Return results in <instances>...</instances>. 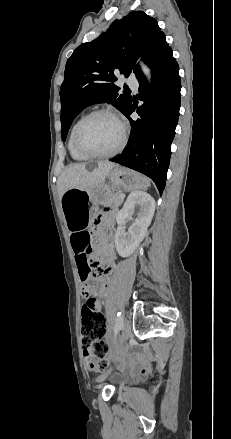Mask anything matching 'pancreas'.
Returning <instances> with one entry per match:
<instances>
[{
	"label": "pancreas",
	"mask_w": 231,
	"mask_h": 439,
	"mask_svg": "<svg viewBox=\"0 0 231 439\" xmlns=\"http://www.w3.org/2000/svg\"><path fill=\"white\" fill-rule=\"evenodd\" d=\"M122 202L123 199L121 198V193L119 192L108 194L105 199V204H112L115 206H120Z\"/></svg>",
	"instance_id": "1"
}]
</instances>
